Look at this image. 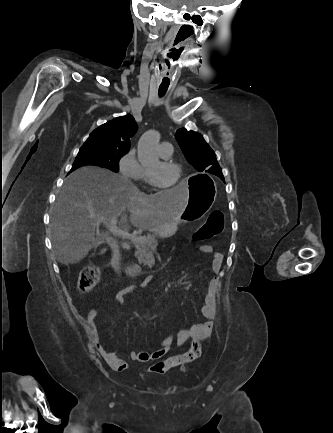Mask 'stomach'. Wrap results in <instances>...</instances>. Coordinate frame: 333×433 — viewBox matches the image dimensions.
Listing matches in <instances>:
<instances>
[{"label": "stomach", "instance_id": "0dacf381", "mask_svg": "<svg viewBox=\"0 0 333 433\" xmlns=\"http://www.w3.org/2000/svg\"><path fill=\"white\" fill-rule=\"evenodd\" d=\"M187 182L191 183L189 201L186 203L181 215H177L175 220L167 222L163 229L157 232L162 237L171 233L178 223L196 224L197 218L209 212L215 203L217 187L210 176L205 173L188 174Z\"/></svg>", "mask_w": 333, "mask_h": 433}]
</instances>
